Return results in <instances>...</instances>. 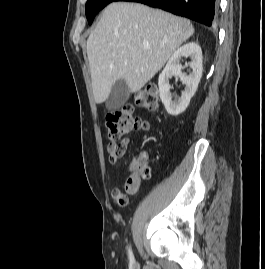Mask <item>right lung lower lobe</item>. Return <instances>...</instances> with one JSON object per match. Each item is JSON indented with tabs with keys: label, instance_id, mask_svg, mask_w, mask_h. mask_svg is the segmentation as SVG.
Segmentation results:
<instances>
[{
	"label": "right lung lower lobe",
	"instance_id": "obj_1",
	"mask_svg": "<svg viewBox=\"0 0 265 269\" xmlns=\"http://www.w3.org/2000/svg\"><path fill=\"white\" fill-rule=\"evenodd\" d=\"M138 2L154 8H161L173 14L184 16L211 26L217 12V0H115Z\"/></svg>",
	"mask_w": 265,
	"mask_h": 269
}]
</instances>
